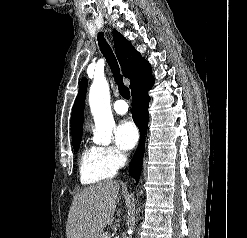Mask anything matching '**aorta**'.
<instances>
[{"mask_svg": "<svg viewBox=\"0 0 247 238\" xmlns=\"http://www.w3.org/2000/svg\"><path fill=\"white\" fill-rule=\"evenodd\" d=\"M89 104L95 122L93 141L96 144H110L115 122L110 105L109 85L104 78L93 81L89 92Z\"/></svg>", "mask_w": 247, "mask_h": 238, "instance_id": "762f6f07", "label": "aorta"}]
</instances>
